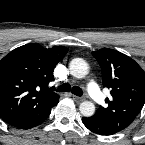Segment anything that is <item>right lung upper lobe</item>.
<instances>
[{
  "label": "right lung upper lobe",
  "mask_w": 145,
  "mask_h": 145,
  "mask_svg": "<svg viewBox=\"0 0 145 145\" xmlns=\"http://www.w3.org/2000/svg\"><path fill=\"white\" fill-rule=\"evenodd\" d=\"M68 52L64 46L46 49L26 44L0 61V117L12 124L44 112L59 101L48 88L53 69Z\"/></svg>",
  "instance_id": "1"
}]
</instances>
